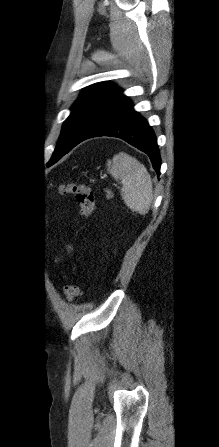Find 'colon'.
Segmentation results:
<instances>
[{"mask_svg": "<svg viewBox=\"0 0 219 447\" xmlns=\"http://www.w3.org/2000/svg\"><path fill=\"white\" fill-rule=\"evenodd\" d=\"M60 194H72L74 195L80 210L82 218H88L95 208V196L92 188L84 183L69 182L62 184L58 188ZM64 292L66 299L71 302L75 300L79 295L78 286L70 281L65 280Z\"/></svg>", "mask_w": 219, "mask_h": 447, "instance_id": "5ec220e1", "label": "colon"}]
</instances>
